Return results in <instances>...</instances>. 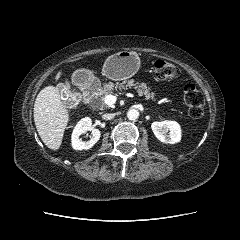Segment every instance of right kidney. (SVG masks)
I'll return each mask as SVG.
<instances>
[{"instance_id":"ca27d5eb","label":"right kidney","mask_w":240,"mask_h":240,"mask_svg":"<svg viewBox=\"0 0 240 240\" xmlns=\"http://www.w3.org/2000/svg\"><path fill=\"white\" fill-rule=\"evenodd\" d=\"M89 130L92 131L91 139L89 141L82 142L80 140V135ZM100 136L101 134L99 129L92 127V120L89 117H85L77 123L72 132V147L75 150H88L94 146V144L100 139Z\"/></svg>"}]
</instances>
